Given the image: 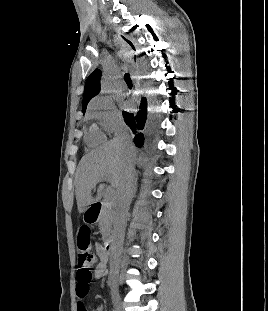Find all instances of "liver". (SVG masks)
I'll list each match as a JSON object with an SVG mask.
<instances>
[{
  "mask_svg": "<svg viewBox=\"0 0 268 311\" xmlns=\"http://www.w3.org/2000/svg\"><path fill=\"white\" fill-rule=\"evenodd\" d=\"M136 149L131 142L125 143L115 138L100 148L82 158L75 178V194L78 211L84 212L86 207L99 201L103 196L104 184L97 190L96 197L92 196L95 186L111 178V185L118 194L129 169L136 164Z\"/></svg>",
  "mask_w": 268,
  "mask_h": 311,
  "instance_id": "1",
  "label": "liver"
}]
</instances>
